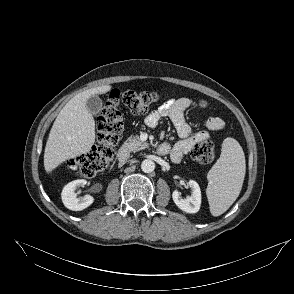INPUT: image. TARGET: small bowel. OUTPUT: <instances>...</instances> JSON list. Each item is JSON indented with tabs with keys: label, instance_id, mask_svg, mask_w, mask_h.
Wrapping results in <instances>:
<instances>
[{
	"label": "small bowel",
	"instance_id": "obj_1",
	"mask_svg": "<svg viewBox=\"0 0 294 294\" xmlns=\"http://www.w3.org/2000/svg\"><path fill=\"white\" fill-rule=\"evenodd\" d=\"M193 105L194 103L188 98L171 99L152 111L145 119L146 125L151 128L156 127L164 117L172 121L177 134L181 138L169 150L170 157L175 163L182 160L183 156L191 150L196 141L207 139L209 137L208 131H221L225 127V123L221 118L209 117L205 122L206 131L194 132L184 117V112Z\"/></svg>",
	"mask_w": 294,
	"mask_h": 294
}]
</instances>
